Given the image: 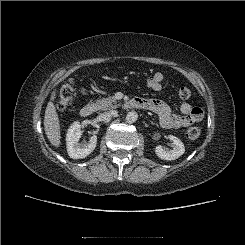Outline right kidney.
Instances as JSON below:
<instances>
[{
	"instance_id": "obj_1",
	"label": "right kidney",
	"mask_w": 245,
	"mask_h": 245,
	"mask_svg": "<svg viewBox=\"0 0 245 245\" xmlns=\"http://www.w3.org/2000/svg\"><path fill=\"white\" fill-rule=\"evenodd\" d=\"M80 122L75 121L67 131L66 142L67 152L72 159H83L93 152L97 144V136L93 135L88 144L80 145L78 143L81 138Z\"/></svg>"
}]
</instances>
